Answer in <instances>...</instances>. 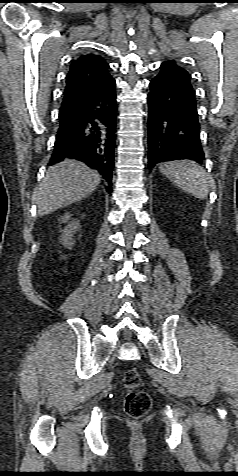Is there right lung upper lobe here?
I'll use <instances>...</instances> for the list:
<instances>
[{"mask_svg":"<svg viewBox=\"0 0 238 476\" xmlns=\"http://www.w3.org/2000/svg\"><path fill=\"white\" fill-rule=\"evenodd\" d=\"M109 65L97 54L80 55L70 65L60 110L74 106L99 91L111 78Z\"/></svg>","mask_w":238,"mask_h":476,"instance_id":"obj_1","label":"right lung upper lobe"}]
</instances>
